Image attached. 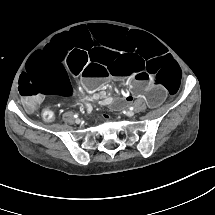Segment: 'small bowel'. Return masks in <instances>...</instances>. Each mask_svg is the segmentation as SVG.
I'll return each instance as SVG.
<instances>
[{
    "label": "small bowel",
    "mask_w": 215,
    "mask_h": 215,
    "mask_svg": "<svg viewBox=\"0 0 215 215\" xmlns=\"http://www.w3.org/2000/svg\"><path fill=\"white\" fill-rule=\"evenodd\" d=\"M130 98H127V99H123V101L120 103L121 105H124L127 101H129ZM41 101V98L40 97H33L29 100V103H28V107H29V110H33L36 108L37 104Z\"/></svg>",
    "instance_id": "c3829d8e"
}]
</instances>
